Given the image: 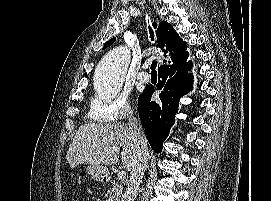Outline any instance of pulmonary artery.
<instances>
[{"label":"pulmonary artery","mask_w":271,"mask_h":201,"mask_svg":"<svg viewBox=\"0 0 271 201\" xmlns=\"http://www.w3.org/2000/svg\"><path fill=\"white\" fill-rule=\"evenodd\" d=\"M148 67L147 64L143 65V69H146ZM137 79L142 82V83H147L150 81V75L148 72L146 71H141L138 75H137Z\"/></svg>","instance_id":"e3ab8cb5"}]
</instances>
